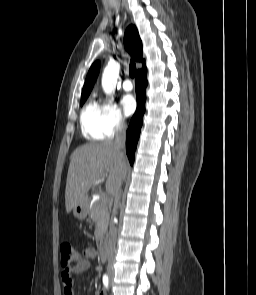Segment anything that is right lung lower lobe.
Here are the masks:
<instances>
[{
  "label": "right lung lower lobe",
  "mask_w": 256,
  "mask_h": 295,
  "mask_svg": "<svg viewBox=\"0 0 256 295\" xmlns=\"http://www.w3.org/2000/svg\"><path fill=\"white\" fill-rule=\"evenodd\" d=\"M147 69L138 72L136 75V97H137V110L133 115L128 130L126 132V153L128 155L130 164L133 165L134 153L137 146V142L140 136V129L143 123V115L145 112V89L148 84L146 80Z\"/></svg>",
  "instance_id": "98d812e1"
}]
</instances>
